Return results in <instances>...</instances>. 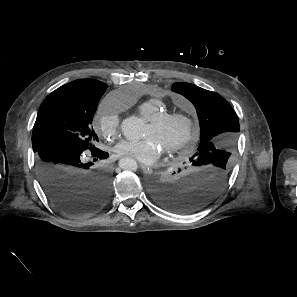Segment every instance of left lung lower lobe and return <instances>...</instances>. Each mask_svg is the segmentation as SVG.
I'll use <instances>...</instances> for the list:
<instances>
[{
  "instance_id": "obj_1",
  "label": "left lung lower lobe",
  "mask_w": 297,
  "mask_h": 297,
  "mask_svg": "<svg viewBox=\"0 0 297 297\" xmlns=\"http://www.w3.org/2000/svg\"><path fill=\"white\" fill-rule=\"evenodd\" d=\"M190 162L172 182L151 184L153 198L159 205L177 213H193L219 196L230 173L226 165L194 158Z\"/></svg>"
}]
</instances>
